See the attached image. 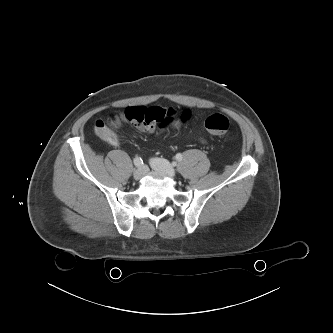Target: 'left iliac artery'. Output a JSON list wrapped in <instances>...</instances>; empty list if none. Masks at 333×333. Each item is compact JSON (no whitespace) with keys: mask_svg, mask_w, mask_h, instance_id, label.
Listing matches in <instances>:
<instances>
[{"mask_svg":"<svg viewBox=\"0 0 333 333\" xmlns=\"http://www.w3.org/2000/svg\"><path fill=\"white\" fill-rule=\"evenodd\" d=\"M175 158H176V160L177 161H182V159H183V156H182V154L181 153H178V154H176V156H175Z\"/></svg>","mask_w":333,"mask_h":333,"instance_id":"44dca946","label":"left iliac artery"}]
</instances>
